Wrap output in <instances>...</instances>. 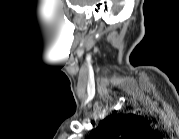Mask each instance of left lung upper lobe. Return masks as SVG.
I'll return each mask as SVG.
<instances>
[{"instance_id":"obj_1","label":"left lung upper lobe","mask_w":179,"mask_h":139,"mask_svg":"<svg viewBox=\"0 0 179 139\" xmlns=\"http://www.w3.org/2000/svg\"><path fill=\"white\" fill-rule=\"evenodd\" d=\"M150 127L134 114H114L104 119L88 139H141Z\"/></svg>"}]
</instances>
